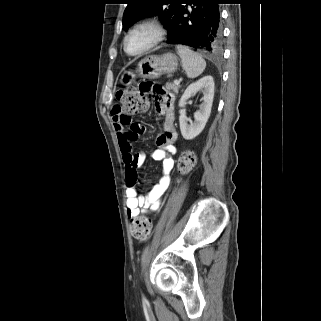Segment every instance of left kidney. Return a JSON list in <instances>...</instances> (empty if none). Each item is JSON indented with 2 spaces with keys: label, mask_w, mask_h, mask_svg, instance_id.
Segmentation results:
<instances>
[{
  "label": "left kidney",
  "mask_w": 321,
  "mask_h": 321,
  "mask_svg": "<svg viewBox=\"0 0 321 321\" xmlns=\"http://www.w3.org/2000/svg\"><path fill=\"white\" fill-rule=\"evenodd\" d=\"M197 91H202V104L200 109L194 114V122L190 124L186 121L185 110L183 109L179 116L180 130L184 139L191 140L198 136L204 129L211 113L214 97V80L207 75L187 87L179 101V107L184 108L186 101Z\"/></svg>",
  "instance_id": "left-kidney-1"
}]
</instances>
